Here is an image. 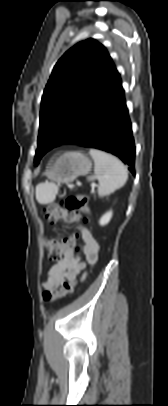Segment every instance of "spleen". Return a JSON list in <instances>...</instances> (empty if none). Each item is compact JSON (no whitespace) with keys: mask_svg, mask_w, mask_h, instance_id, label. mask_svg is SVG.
<instances>
[{"mask_svg":"<svg viewBox=\"0 0 168 406\" xmlns=\"http://www.w3.org/2000/svg\"><path fill=\"white\" fill-rule=\"evenodd\" d=\"M89 154L94 160V175L88 180L99 181L98 195H110L124 186L128 179L126 166L116 157L97 149H90ZM58 186L54 183L44 182L37 186L36 196L40 203L46 204L55 200Z\"/></svg>","mask_w":168,"mask_h":406,"instance_id":"spleen-1","label":"spleen"}]
</instances>
